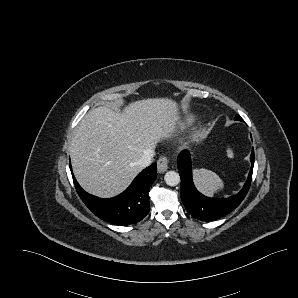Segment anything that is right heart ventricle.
Returning a JSON list of instances; mask_svg holds the SVG:
<instances>
[{
	"label": "right heart ventricle",
	"instance_id": "right-heart-ventricle-1",
	"mask_svg": "<svg viewBox=\"0 0 298 298\" xmlns=\"http://www.w3.org/2000/svg\"><path fill=\"white\" fill-rule=\"evenodd\" d=\"M179 117H180L179 129H184V128L191 126L192 124H194L197 121L198 114L195 112H186V113L179 115Z\"/></svg>",
	"mask_w": 298,
	"mask_h": 298
}]
</instances>
